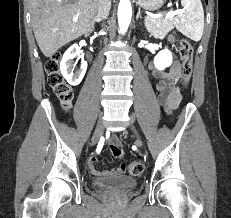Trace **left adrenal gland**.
I'll use <instances>...</instances> for the list:
<instances>
[{
    "label": "left adrenal gland",
    "instance_id": "a2214340",
    "mask_svg": "<svg viewBox=\"0 0 231 218\" xmlns=\"http://www.w3.org/2000/svg\"><path fill=\"white\" fill-rule=\"evenodd\" d=\"M139 18H141L140 8H139L138 13H137V16H136V19H137V20H138Z\"/></svg>",
    "mask_w": 231,
    "mask_h": 218
}]
</instances>
